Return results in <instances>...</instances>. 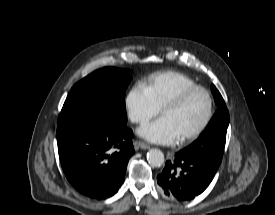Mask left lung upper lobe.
<instances>
[{
    "label": "left lung upper lobe",
    "mask_w": 275,
    "mask_h": 215,
    "mask_svg": "<svg viewBox=\"0 0 275 215\" xmlns=\"http://www.w3.org/2000/svg\"><path fill=\"white\" fill-rule=\"evenodd\" d=\"M211 90L218 109L204 132L182 151L190 156L221 164L230 117L225 102L214 85Z\"/></svg>",
    "instance_id": "1"
}]
</instances>
